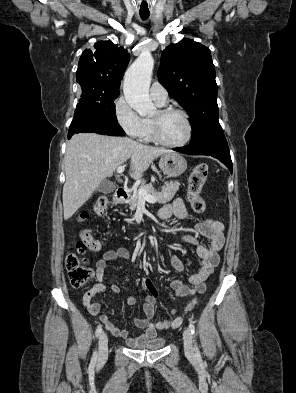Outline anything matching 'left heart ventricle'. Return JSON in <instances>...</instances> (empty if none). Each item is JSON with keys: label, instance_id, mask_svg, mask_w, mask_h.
Returning <instances> with one entry per match:
<instances>
[{"label": "left heart ventricle", "instance_id": "left-heart-ventricle-1", "mask_svg": "<svg viewBox=\"0 0 296 393\" xmlns=\"http://www.w3.org/2000/svg\"><path fill=\"white\" fill-rule=\"evenodd\" d=\"M153 118L159 119L160 134L165 141L177 143L186 137L187 125L182 115L171 113L160 118L156 112Z\"/></svg>", "mask_w": 296, "mask_h": 393}]
</instances>
